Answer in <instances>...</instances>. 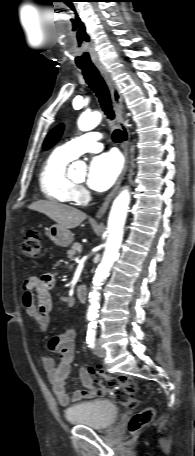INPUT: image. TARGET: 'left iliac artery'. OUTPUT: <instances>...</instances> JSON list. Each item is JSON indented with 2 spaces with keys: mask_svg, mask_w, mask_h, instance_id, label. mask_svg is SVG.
<instances>
[{
  "mask_svg": "<svg viewBox=\"0 0 195 456\" xmlns=\"http://www.w3.org/2000/svg\"><path fill=\"white\" fill-rule=\"evenodd\" d=\"M95 341H96V324H95V322H91L89 324L88 332H87L88 347L93 349L95 347Z\"/></svg>",
  "mask_w": 195,
  "mask_h": 456,
  "instance_id": "44dca946",
  "label": "left iliac artery"
}]
</instances>
